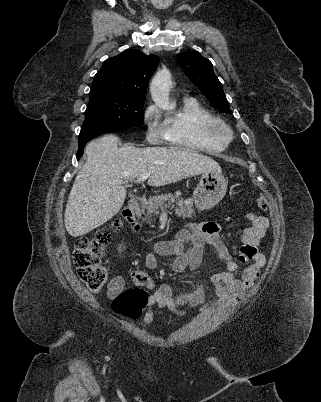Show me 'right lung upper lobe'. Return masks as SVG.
I'll use <instances>...</instances> for the list:
<instances>
[{
	"label": "right lung upper lobe",
	"mask_w": 321,
	"mask_h": 402,
	"mask_svg": "<svg viewBox=\"0 0 321 402\" xmlns=\"http://www.w3.org/2000/svg\"><path fill=\"white\" fill-rule=\"evenodd\" d=\"M158 65L156 55L128 49L104 61L90 92H106L134 100H145L146 85Z\"/></svg>",
	"instance_id": "cb5924a9"
}]
</instances>
